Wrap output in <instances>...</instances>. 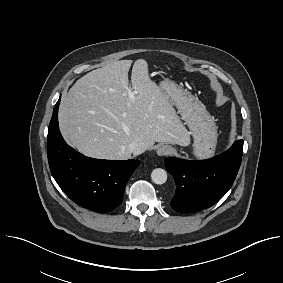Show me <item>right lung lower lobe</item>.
Returning a JSON list of instances; mask_svg holds the SVG:
<instances>
[{
    "label": "right lung lower lobe",
    "mask_w": 283,
    "mask_h": 283,
    "mask_svg": "<svg viewBox=\"0 0 283 283\" xmlns=\"http://www.w3.org/2000/svg\"><path fill=\"white\" fill-rule=\"evenodd\" d=\"M55 104L47 136L51 173L63 192L76 204L97 212L115 209L139 160L113 161L86 157L69 147L59 131Z\"/></svg>",
    "instance_id": "right-lung-lower-lobe-1"
}]
</instances>
